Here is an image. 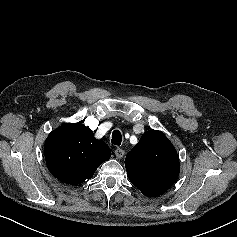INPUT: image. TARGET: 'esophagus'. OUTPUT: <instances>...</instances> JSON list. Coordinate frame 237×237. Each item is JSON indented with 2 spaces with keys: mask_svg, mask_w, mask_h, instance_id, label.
I'll list each match as a JSON object with an SVG mask.
<instances>
[{
  "mask_svg": "<svg viewBox=\"0 0 237 237\" xmlns=\"http://www.w3.org/2000/svg\"><path fill=\"white\" fill-rule=\"evenodd\" d=\"M124 154H125V151L121 148H117L115 150V156L119 159L122 158L124 156Z\"/></svg>",
  "mask_w": 237,
  "mask_h": 237,
  "instance_id": "obj_1",
  "label": "esophagus"
}]
</instances>
